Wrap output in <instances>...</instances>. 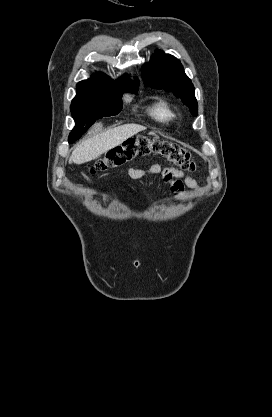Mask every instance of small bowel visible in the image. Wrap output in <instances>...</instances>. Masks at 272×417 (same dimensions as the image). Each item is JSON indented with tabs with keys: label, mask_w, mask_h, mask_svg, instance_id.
Masks as SVG:
<instances>
[{
	"label": "small bowel",
	"mask_w": 272,
	"mask_h": 417,
	"mask_svg": "<svg viewBox=\"0 0 272 417\" xmlns=\"http://www.w3.org/2000/svg\"><path fill=\"white\" fill-rule=\"evenodd\" d=\"M128 175L134 180L151 175H159L164 182L170 183L171 191L176 199H179L183 195L185 187L195 191H198L200 188L197 181L184 174L183 171L172 167H163L160 164H152L147 168L132 166L128 169Z\"/></svg>",
	"instance_id": "small-bowel-1"
}]
</instances>
